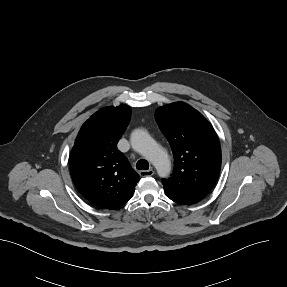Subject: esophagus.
Instances as JSON below:
<instances>
[{"label":"esophagus","instance_id":"esophagus-1","mask_svg":"<svg viewBox=\"0 0 287 287\" xmlns=\"http://www.w3.org/2000/svg\"><path fill=\"white\" fill-rule=\"evenodd\" d=\"M139 174L142 177H149V176L154 175V170H152V169H150V170H142V171L139 172Z\"/></svg>","mask_w":287,"mask_h":287}]
</instances>
